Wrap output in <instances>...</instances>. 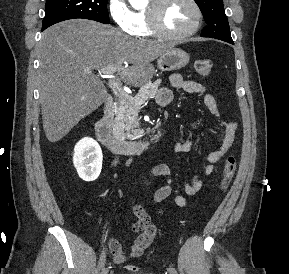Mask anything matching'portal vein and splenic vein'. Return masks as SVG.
<instances>
[{
	"instance_id": "portal-vein-and-splenic-vein-1",
	"label": "portal vein and splenic vein",
	"mask_w": 289,
	"mask_h": 274,
	"mask_svg": "<svg viewBox=\"0 0 289 274\" xmlns=\"http://www.w3.org/2000/svg\"><path fill=\"white\" fill-rule=\"evenodd\" d=\"M99 73L103 74L105 77L109 78V85L111 87V89L113 90V92L120 98H130L131 96L128 95V93H126L122 87L120 86V84L112 78V75L114 73H116L117 71V67L116 66H107V67H103L101 69H98ZM136 103L138 105H142L144 103H146V101H136Z\"/></svg>"
}]
</instances>
